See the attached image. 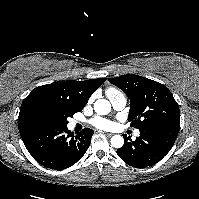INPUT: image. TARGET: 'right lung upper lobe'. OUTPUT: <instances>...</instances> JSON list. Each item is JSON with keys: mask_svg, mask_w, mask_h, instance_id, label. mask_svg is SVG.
<instances>
[{"mask_svg": "<svg viewBox=\"0 0 199 199\" xmlns=\"http://www.w3.org/2000/svg\"><path fill=\"white\" fill-rule=\"evenodd\" d=\"M105 80L106 78L86 81L67 80L36 87L23 100L18 118L32 106L45 105L55 101H59L73 110L81 111L91 94L99 88Z\"/></svg>", "mask_w": 199, "mask_h": 199, "instance_id": "obj_1", "label": "right lung upper lobe"}]
</instances>
